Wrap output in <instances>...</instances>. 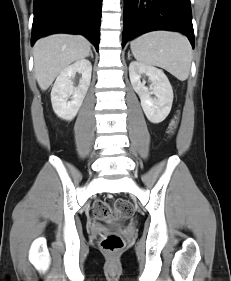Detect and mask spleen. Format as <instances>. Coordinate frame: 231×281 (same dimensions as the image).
Listing matches in <instances>:
<instances>
[{"label":"spleen","mask_w":231,"mask_h":281,"mask_svg":"<svg viewBox=\"0 0 231 281\" xmlns=\"http://www.w3.org/2000/svg\"><path fill=\"white\" fill-rule=\"evenodd\" d=\"M130 47L139 62L161 67L180 81L188 78L192 47L184 35L169 31H153L133 40Z\"/></svg>","instance_id":"obj_1"}]
</instances>
